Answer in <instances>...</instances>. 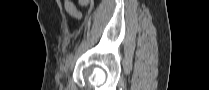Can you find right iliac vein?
<instances>
[{"mask_svg": "<svg viewBox=\"0 0 209 90\" xmlns=\"http://www.w3.org/2000/svg\"><path fill=\"white\" fill-rule=\"evenodd\" d=\"M72 61L66 62V70H68L71 67Z\"/></svg>", "mask_w": 209, "mask_h": 90, "instance_id": "63e3f726", "label": "right iliac vein"}]
</instances>
